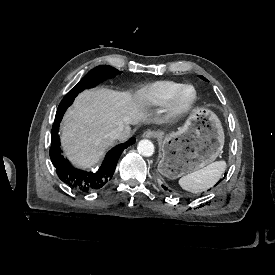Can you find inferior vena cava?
<instances>
[{
  "label": "inferior vena cava",
  "mask_w": 275,
  "mask_h": 275,
  "mask_svg": "<svg viewBox=\"0 0 275 275\" xmlns=\"http://www.w3.org/2000/svg\"><path fill=\"white\" fill-rule=\"evenodd\" d=\"M123 131H124V127L119 126L113 130L108 131L106 135L112 139H115V138H118Z\"/></svg>",
  "instance_id": "1"
}]
</instances>
